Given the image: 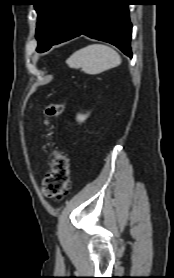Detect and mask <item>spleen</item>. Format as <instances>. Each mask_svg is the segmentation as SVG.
<instances>
[{
    "mask_svg": "<svg viewBox=\"0 0 174 278\" xmlns=\"http://www.w3.org/2000/svg\"><path fill=\"white\" fill-rule=\"evenodd\" d=\"M66 63L70 68H81L85 73L94 75L117 67L121 57L111 47L92 44L73 53Z\"/></svg>",
    "mask_w": 174,
    "mask_h": 278,
    "instance_id": "spleen-1",
    "label": "spleen"
}]
</instances>
